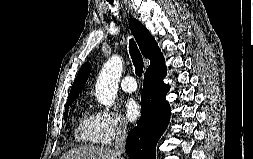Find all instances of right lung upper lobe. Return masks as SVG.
<instances>
[{"mask_svg": "<svg viewBox=\"0 0 253 159\" xmlns=\"http://www.w3.org/2000/svg\"><path fill=\"white\" fill-rule=\"evenodd\" d=\"M129 27L142 54L150 60V66L148 67L147 72L165 70L166 66L163 55L155 39L146 27L135 18L130 20ZM90 72L91 65L89 63H86L81 67L74 83L72 84L68 100L76 99L78 97L90 75Z\"/></svg>", "mask_w": 253, "mask_h": 159, "instance_id": "cb5924a9", "label": "right lung upper lobe"}]
</instances>
